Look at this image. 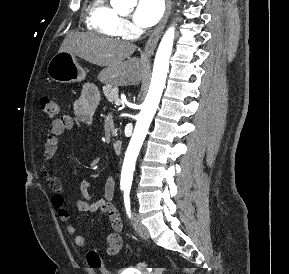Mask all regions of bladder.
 Returning a JSON list of instances; mask_svg holds the SVG:
<instances>
[{"label":"bladder","mask_w":289,"mask_h":274,"mask_svg":"<svg viewBox=\"0 0 289 274\" xmlns=\"http://www.w3.org/2000/svg\"><path fill=\"white\" fill-rule=\"evenodd\" d=\"M121 274H137L136 272H124V273H121Z\"/></svg>","instance_id":"1"}]
</instances>
